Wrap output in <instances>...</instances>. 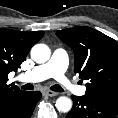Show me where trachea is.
I'll list each match as a JSON object with an SVG mask.
<instances>
[{"instance_id":"obj_1","label":"trachea","mask_w":118,"mask_h":118,"mask_svg":"<svg viewBox=\"0 0 118 118\" xmlns=\"http://www.w3.org/2000/svg\"><path fill=\"white\" fill-rule=\"evenodd\" d=\"M22 89L33 90L34 86L32 84H25L22 86ZM50 89L55 92H64V89L60 85H53L50 87Z\"/></svg>"}]
</instances>
